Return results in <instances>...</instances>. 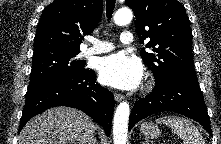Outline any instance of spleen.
Wrapping results in <instances>:
<instances>
[{
    "label": "spleen",
    "mask_w": 221,
    "mask_h": 144,
    "mask_svg": "<svg viewBox=\"0 0 221 144\" xmlns=\"http://www.w3.org/2000/svg\"><path fill=\"white\" fill-rule=\"evenodd\" d=\"M156 123L171 127L184 144H205V140L196 126L185 118L168 115L157 119Z\"/></svg>",
    "instance_id": "obj_1"
}]
</instances>
